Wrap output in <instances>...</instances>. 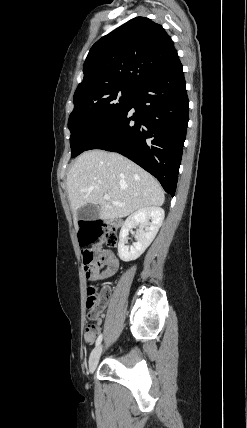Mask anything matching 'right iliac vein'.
<instances>
[{
  "mask_svg": "<svg viewBox=\"0 0 247 428\" xmlns=\"http://www.w3.org/2000/svg\"><path fill=\"white\" fill-rule=\"evenodd\" d=\"M102 353V345H98L92 352L89 358V372L92 374L99 362Z\"/></svg>",
  "mask_w": 247,
  "mask_h": 428,
  "instance_id": "1",
  "label": "right iliac vein"
}]
</instances>
